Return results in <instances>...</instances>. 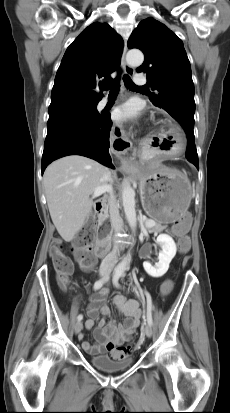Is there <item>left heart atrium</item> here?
<instances>
[{
	"label": "left heart atrium",
	"mask_w": 230,
	"mask_h": 413,
	"mask_svg": "<svg viewBox=\"0 0 230 413\" xmlns=\"http://www.w3.org/2000/svg\"><path fill=\"white\" fill-rule=\"evenodd\" d=\"M139 111L140 108L137 103L127 102L114 111L113 117L118 122L133 120L139 115Z\"/></svg>",
	"instance_id": "obj_1"
}]
</instances>
